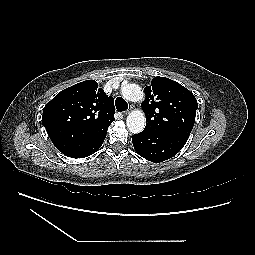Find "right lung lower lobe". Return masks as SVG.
<instances>
[{"label":"right lung lower lobe","mask_w":255,"mask_h":255,"mask_svg":"<svg viewBox=\"0 0 255 255\" xmlns=\"http://www.w3.org/2000/svg\"><path fill=\"white\" fill-rule=\"evenodd\" d=\"M107 131L97 134L91 138L72 158H84L95 153L103 144Z\"/></svg>","instance_id":"98d812e1"}]
</instances>
